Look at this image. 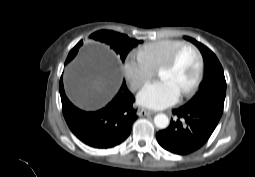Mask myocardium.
Segmentation results:
<instances>
[{"label": "myocardium", "mask_w": 255, "mask_h": 177, "mask_svg": "<svg viewBox=\"0 0 255 177\" xmlns=\"http://www.w3.org/2000/svg\"><path fill=\"white\" fill-rule=\"evenodd\" d=\"M187 48L192 49L196 53L198 57V70L195 80L193 81L191 86L181 93L182 97L192 94L201 83L204 73V58L199 48L192 43H183L172 53L169 59L159 67V71L173 68L176 65L181 53Z\"/></svg>", "instance_id": "obj_1"}]
</instances>
